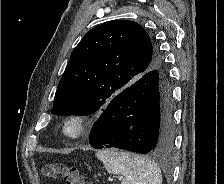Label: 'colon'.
<instances>
[{"instance_id": "obj_1", "label": "colon", "mask_w": 224, "mask_h": 184, "mask_svg": "<svg viewBox=\"0 0 224 184\" xmlns=\"http://www.w3.org/2000/svg\"><path fill=\"white\" fill-rule=\"evenodd\" d=\"M41 173L46 180L61 179L64 184H93L77 167L64 162L47 163Z\"/></svg>"}]
</instances>
